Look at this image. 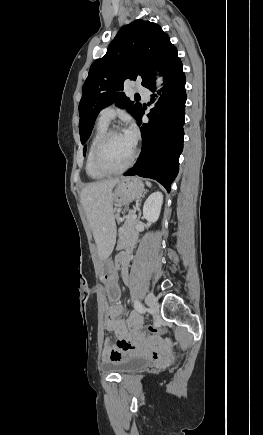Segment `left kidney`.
Wrapping results in <instances>:
<instances>
[{"mask_svg":"<svg viewBox=\"0 0 263 435\" xmlns=\"http://www.w3.org/2000/svg\"><path fill=\"white\" fill-rule=\"evenodd\" d=\"M163 204V194L160 191L152 193L144 203L143 216L149 222H156L160 216Z\"/></svg>","mask_w":263,"mask_h":435,"instance_id":"5707ae66","label":"left kidney"}]
</instances>
